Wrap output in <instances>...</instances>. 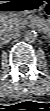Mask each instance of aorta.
Segmentation results:
<instances>
[{"label":"aorta","instance_id":"762f6f07","mask_svg":"<svg viewBox=\"0 0 50 111\" xmlns=\"http://www.w3.org/2000/svg\"><path fill=\"white\" fill-rule=\"evenodd\" d=\"M36 38H37V33L35 31H27L24 34V40L29 43L35 42Z\"/></svg>","mask_w":50,"mask_h":111}]
</instances>
